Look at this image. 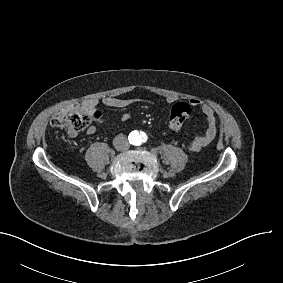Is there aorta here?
<instances>
[{
  "instance_id": "aorta-1",
  "label": "aorta",
  "mask_w": 283,
  "mask_h": 283,
  "mask_svg": "<svg viewBox=\"0 0 283 283\" xmlns=\"http://www.w3.org/2000/svg\"><path fill=\"white\" fill-rule=\"evenodd\" d=\"M135 137L137 141H140L141 137L139 136V134H136Z\"/></svg>"
}]
</instances>
